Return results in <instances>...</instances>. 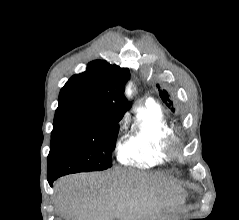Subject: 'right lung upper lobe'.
<instances>
[{
    "label": "right lung upper lobe",
    "instance_id": "1",
    "mask_svg": "<svg viewBox=\"0 0 239 220\" xmlns=\"http://www.w3.org/2000/svg\"><path fill=\"white\" fill-rule=\"evenodd\" d=\"M128 69L95 60L72 76L60 91L54 119L122 118L131 106L124 96Z\"/></svg>",
    "mask_w": 239,
    "mask_h": 220
}]
</instances>
